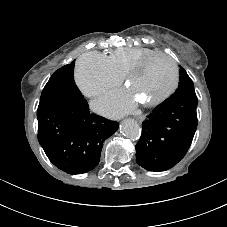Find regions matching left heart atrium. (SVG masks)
I'll list each match as a JSON object with an SVG mask.
<instances>
[{"instance_id": "1", "label": "left heart atrium", "mask_w": 227, "mask_h": 227, "mask_svg": "<svg viewBox=\"0 0 227 227\" xmlns=\"http://www.w3.org/2000/svg\"><path fill=\"white\" fill-rule=\"evenodd\" d=\"M135 105V96L125 89L109 92L95 103L100 112L109 116H120L130 112Z\"/></svg>"}]
</instances>
